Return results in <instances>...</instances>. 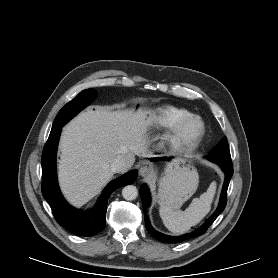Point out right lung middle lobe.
Returning <instances> with one entry per match:
<instances>
[{
    "label": "right lung middle lobe",
    "instance_id": "1",
    "mask_svg": "<svg viewBox=\"0 0 278 278\" xmlns=\"http://www.w3.org/2000/svg\"><path fill=\"white\" fill-rule=\"evenodd\" d=\"M97 92L94 89H87L80 92L73 100L67 103L57 114L52 129L64 126L77 113L84 109L94 100Z\"/></svg>",
    "mask_w": 278,
    "mask_h": 278
}]
</instances>
